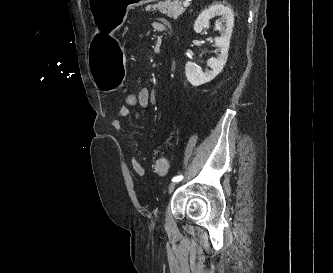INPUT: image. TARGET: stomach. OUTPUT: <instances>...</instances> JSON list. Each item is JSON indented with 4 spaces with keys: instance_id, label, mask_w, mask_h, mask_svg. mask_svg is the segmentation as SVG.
Wrapping results in <instances>:
<instances>
[{
    "instance_id": "stomach-1",
    "label": "stomach",
    "mask_w": 333,
    "mask_h": 273,
    "mask_svg": "<svg viewBox=\"0 0 333 273\" xmlns=\"http://www.w3.org/2000/svg\"><path fill=\"white\" fill-rule=\"evenodd\" d=\"M157 0H89L97 31L89 44L90 69L95 85L102 91H114L125 81L127 58L121 53L117 32L124 27L126 12Z\"/></svg>"
}]
</instances>
